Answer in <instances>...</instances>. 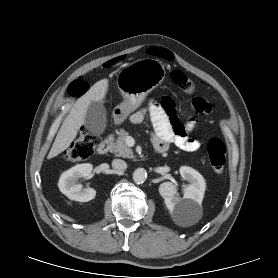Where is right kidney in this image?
Masks as SVG:
<instances>
[{
    "label": "right kidney",
    "mask_w": 278,
    "mask_h": 278,
    "mask_svg": "<svg viewBox=\"0 0 278 278\" xmlns=\"http://www.w3.org/2000/svg\"><path fill=\"white\" fill-rule=\"evenodd\" d=\"M92 172V165L89 163L78 164L62 173L58 181L60 191L69 199L88 202L95 198L96 190L93 188H83L81 184H76L77 179L87 177Z\"/></svg>",
    "instance_id": "ca27d5eb"
}]
</instances>
